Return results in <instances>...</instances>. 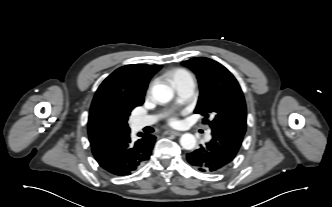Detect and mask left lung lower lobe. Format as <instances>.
Here are the masks:
<instances>
[{
    "mask_svg": "<svg viewBox=\"0 0 332 207\" xmlns=\"http://www.w3.org/2000/svg\"><path fill=\"white\" fill-rule=\"evenodd\" d=\"M243 135L212 130V139L199 149L187 154V161L203 173H217L226 168L236 156Z\"/></svg>",
    "mask_w": 332,
    "mask_h": 207,
    "instance_id": "0a47b994",
    "label": "left lung lower lobe"
}]
</instances>
